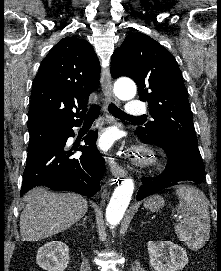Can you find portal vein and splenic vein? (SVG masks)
Segmentation results:
<instances>
[{"instance_id":"1","label":"portal vein and splenic vein","mask_w":221,"mask_h":271,"mask_svg":"<svg viewBox=\"0 0 221 271\" xmlns=\"http://www.w3.org/2000/svg\"><path fill=\"white\" fill-rule=\"evenodd\" d=\"M172 216H173V218H178V219H179V217H178V216H179V215H178V213H173V215H172Z\"/></svg>"}]
</instances>
